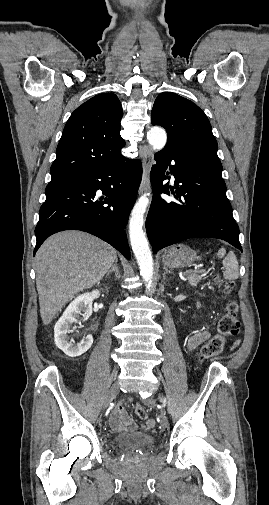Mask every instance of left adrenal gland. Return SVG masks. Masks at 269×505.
Returning a JSON list of instances; mask_svg holds the SVG:
<instances>
[{"label": "left adrenal gland", "mask_w": 269, "mask_h": 505, "mask_svg": "<svg viewBox=\"0 0 269 505\" xmlns=\"http://www.w3.org/2000/svg\"><path fill=\"white\" fill-rule=\"evenodd\" d=\"M167 274H172V272L170 270H168L166 267H164L163 280L166 279Z\"/></svg>", "instance_id": "1"}]
</instances>
